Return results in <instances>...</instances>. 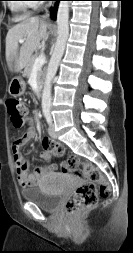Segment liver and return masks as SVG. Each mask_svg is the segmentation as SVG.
I'll return each mask as SVG.
<instances>
[{
    "instance_id": "liver-1",
    "label": "liver",
    "mask_w": 133,
    "mask_h": 253,
    "mask_svg": "<svg viewBox=\"0 0 133 253\" xmlns=\"http://www.w3.org/2000/svg\"><path fill=\"white\" fill-rule=\"evenodd\" d=\"M47 23L37 17L28 18L12 27L6 36V60L11 71L25 67L40 41L47 36ZM24 39L19 49V40Z\"/></svg>"
}]
</instances>
